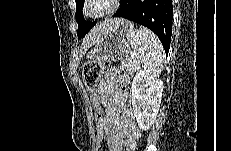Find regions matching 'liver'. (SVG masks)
<instances>
[{"label": "liver", "instance_id": "liver-1", "mask_svg": "<svg viewBox=\"0 0 231 151\" xmlns=\"http://www.w3.org/2000/svg\"><path fill=\"white\" fill-rule=\"evenodd\" d=\"M124 21L126 20L110 19V20H105L103 23L97 25L93 30H91V32L89 33V35L87 36V38L83 43L84 52H86L88 48L94 45L101 38V36L104 34L106 30L111 28L114 24H120Z\"/></svg>", "mask_w": 231, "mask_h": 151}]
</instances>
